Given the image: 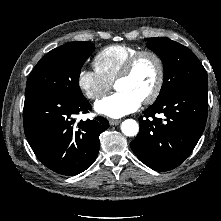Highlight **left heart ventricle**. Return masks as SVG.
<instances>
[{
  "label": "left heart ventricle",
  "instance_id": "left-heart-ventricle-1",
  "mask_svg": "<svg viewBox=\"0 0 221 221\" xmlns=\"http://www.w3.org/2000/svg\"><path fill=\"white\" fill-rule=\"evenodd\" d=\"M157 80V66L151 57H143L137 64L133 74L118 81L115 85L118 91H128L141 100L153 90Z\"/></svg>",
  "mask_w": 221,
  "mask_h": 221
}]
</instances>
